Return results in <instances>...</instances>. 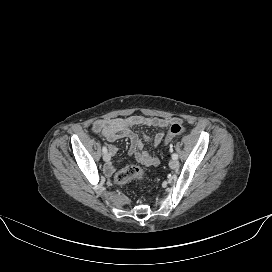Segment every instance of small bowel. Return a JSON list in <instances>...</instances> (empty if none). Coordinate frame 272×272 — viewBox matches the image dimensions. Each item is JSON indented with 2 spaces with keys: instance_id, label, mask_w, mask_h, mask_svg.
<instances>
[{
  "instance_id": "c3829d8e",
  "label": "small bowel",
  "mask_w": 272,
  "mask_h": 272,
  "mask_svg": "<svg viewBox=\"0 0 272 272\" xmlns=\"http://www.w3.org/2000/svg\"><path fill=\"white\" fill-rule=\"evenodd\" d=\"M174 123H181L178 118L170 117H146V116H128L123 118H111L105 120H98L94 122L92 130L95 133L102 134L109 142H114L119 139H128L130 141V154L139 163L145 166H156L159 163L157 156L143 150L145 143L151 142L157 146L163 139L165 134L163 132L156 133L152 138L144 134H138L132 130L134 126L156 127L166 129ZM111 155L117 153L115 146L110 147ZM114 169L111 165L106 167L108 174L113 173Z\"/></svg>"
}]
</instances>
